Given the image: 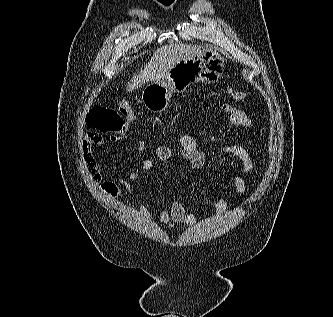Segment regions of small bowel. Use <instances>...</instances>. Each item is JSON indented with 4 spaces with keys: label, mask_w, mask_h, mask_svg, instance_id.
Here are the masks:
<instances>
[{
    "label": "small bowel",
    "mask_w": 333,
    "mask_h": 317,
    "mask_svg": "<svg viewBox=\"0 0 333 317\" xmlns=\"http://www.w3.org/2000/svg\"><path fill=\"white\" fill-rule=\"evenodd\" d=\"M221 109L228 114V123L233 126H241L248 129L253 128V122L248 114L232 105L223 104ZM117 137L111 136L110 140L115 141ZM105 139L98 133H88L82 144V161L89 172L92 183L106 194L115 197H122V189L129 195L135 197L140 177L153 168V159L144 158L139 166L130 174L129 179L116 178L114 180L102 181V175L93 155V147L103 146ZM142 141H137V149L144 150ZM179 153L183 161L191 169H202L206 163V154L198 145L197 140L190 134L183 133L179 137ZM216 153L228 155L241 162L243 172L249 180H253L256 175V168L249 151L237 144H226L216 149ZM153 157L161 162L168 163L172 158V149L166 145H159L155 148ZM232 184L239 196H243L247 190L245 179L237 172L232 173ZM226 210V203L223 197L219 196L215 202L214 212L217 217H222ZM161 224L175 223L187 226L196 225V216L188 211L182 202L173 200L169 207L162 206L159 216Z\"/></svg>",
    "instance_id": "c3829d8e"
}]
</instances>
